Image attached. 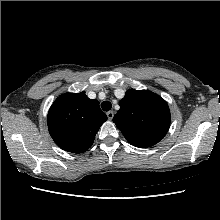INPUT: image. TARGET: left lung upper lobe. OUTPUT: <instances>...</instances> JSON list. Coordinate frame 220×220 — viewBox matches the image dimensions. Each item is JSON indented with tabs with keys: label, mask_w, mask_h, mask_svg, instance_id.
<instances>
[{
	"label": "left lung upper lobe",
	"mask_w": 220,
	"mask_h": 220,
	"mask_svg": "<svg viewBox=\"0 0 220 220\" xmlns=\"http://www.w3.org/2000/svg\"><path fill=\"white\" fill-rule=\"evenodd\" d=\"M170 111L164 99L147 90H128L120 101L113 122L126 140L140 148L158 143L170 126Z\"/></svg>",
	"instance_id": "obj_1"
}]
</instances>
